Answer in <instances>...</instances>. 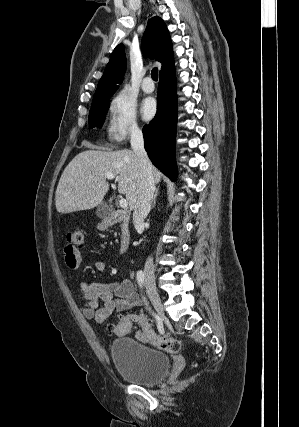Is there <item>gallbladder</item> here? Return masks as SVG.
I'll return each mask as SVG.
<instances>
[{
    "mask_svg": "<svg viewBox=\"0 0 299 427\" xmlns=\"http://www.w3.org/2000/svg\"><path fill=\"white\" fill-rule=\"evenodd\" d=\"M113 213V208L111 205H107L106 203H102L96 210V215L101 219H107L111 217Z\"/></svg>",
    "mask_w": 299,
    "mask_h": 427,
    "instance_id": "gallbladder-1",
    "label": "gallbladder"
}]
</instances>
